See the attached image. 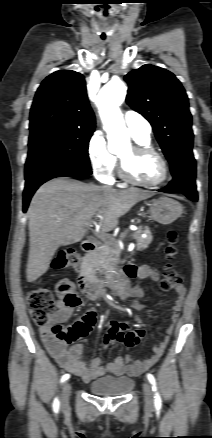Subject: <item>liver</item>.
<instances>
[{"label":"liver","instance_id":"liver-1","mask_svg":"<svg viewBox=\"0 0 212 438\" xmlns=\"http://www.w3.org/2000/svg\"><path fill=\"white\" fill-rule=\"evenodd\" d=\"M152 195L138 189L103 188L65 177L43 184L28 209L27 281L33 282L46 273L60 245L81 241L93 217L103 232H109L137 202Z\"/></svg>","mask_w":212,"mask_h":438}]
</instances>
